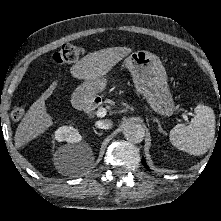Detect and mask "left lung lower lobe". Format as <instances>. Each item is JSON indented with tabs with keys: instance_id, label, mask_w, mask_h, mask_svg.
<instances>
[{
	"instance_id": "obj_1",
	"label": "left lung lower lobe",
	"mask_w": 221,
	"mask_h": 221,
	"mask_svg": "<svg viewBox=\"0 0 221 221\" xmlns=\"http://www.w3.org/2000/svg\"><path fill=\"white\" fill-rule=\"evenodd\" d=\"M142 163H143V165L145 166V168H147V169L149 170V168H148V166L146 165V162H145L144 159H142Z\"/></svg>"
}]
</instances>
